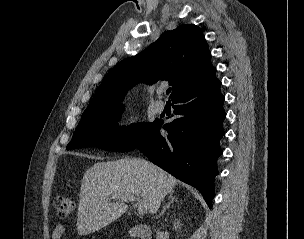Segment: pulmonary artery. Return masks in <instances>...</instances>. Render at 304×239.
<instances>
[{
  "label": "pulmonary artery",
  "mask_w": 304,
  "mask_h": 239,
  "mask_svg": "<svg viewBox=\"0 0 304 239\" xmlns=\"http://www.w3.org/2000/svg\"><path fill=\"white\" fill-rule=\"evenodd\" d=\"M160 92H162V91H160ZM154 108H155L156 112H159V113L162 112L165 108V102L162 100H157L154 104Z\"/></svg>",
  "instance_id": "pulmonary-artery-1"
}]
</instances>
